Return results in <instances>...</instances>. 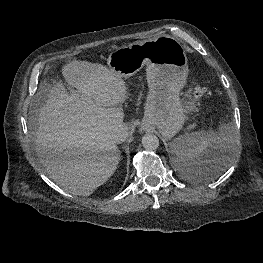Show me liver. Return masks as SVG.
Here are the masks:
<instances>
[{
  "label": "liver",
  "mask_w": 263,
  "mask_h": 263,
  "mask_svg": "<svg viewBox=\"0 0 263 263\" xmlns=\"http://www.w3.org/2000/svg\"><path fill=\"white\" fill-rule=\"evenodd\" d=\"M61 82L47 91L38 115L37 154L52 180L65 191L89 196L113 175L120 151L111 139L123 125L117 107L126 100L120 74L99 63L72 60L62 67Z\"/></svg>",
  "instance_id": "1"
}]
</instances>
